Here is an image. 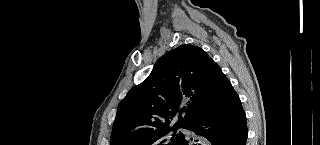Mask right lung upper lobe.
Returning <instances> with one entry per match:
<instances>
[{"instance_id":"right-lung-upper-lobe-1","label":"right lung upper lobe","mask_w":320,"mask_h":145,"mask_svg":"<svg viewBox=\"0 0 320 145\" xmlns=\"http://www.w3.org/2000/svg\"><path fill=\"white\" fill-rule=\"evenodd\" d=\"M224 76L200 47L184 44L163 55L151 74L121 101L110 145H132L164 128L180 110L173 127H184L205 113Z\"/></svg>"}]
</instances>
